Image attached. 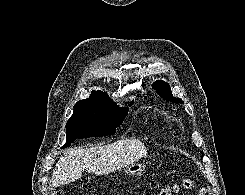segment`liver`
<instances>
[{"instance_id": "liver-1", "label": "liver", "mask_w": 245, "mask_h": 195, "mask_svg": "<svg viewBox=\"0 0 245 195\" xmlns=\"http://www.w3.org/2000/svg\"><path fill=\"white\" fill-rule=\"evenodd\" d=\"M147 156V148L139 139H124L108 145L74 148L64 152L53 171V187L74 182L87 169L95 175H105L126 168Z\"/></svg>"}]
</instances>
